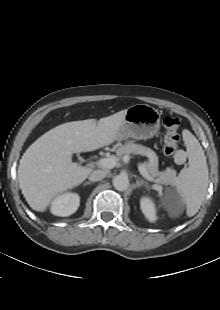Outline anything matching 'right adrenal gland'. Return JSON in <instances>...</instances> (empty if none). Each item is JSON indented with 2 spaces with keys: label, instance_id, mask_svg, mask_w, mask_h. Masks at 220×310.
<instances>
[{
  "label": "right adrenal gland",
  "instance_id": "2a0ac1e0",
  "mask_svg": "<svg viewBox=\"0 0 220 310\" xmlns=\"http://www.w3.org/2000/svg\"><path fill=\"white\" fill-rule=\"evenodd\" d=\"M92 183L91 182H85L84 183V186H86V185H91Z\"/></svg>",
  "mask_w": 220,
  "mask_h": 310
}]
</instances>
